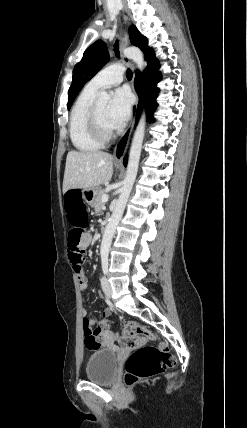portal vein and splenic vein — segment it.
Instances as JSON below:
<instances>
[{"label":"portal vein and splenic vein","instance_id":"portal-vein-and-splenic-vein-1","mask_svg":"<svg viewBox=\"0 0 247 428\" xmlns=\"http://www.w3.org/2000/svg\"><path fill=\"white\" fill-rule=\"evenodd\" d=\"M107 201H108V195H103L102 202H107Z\"/></svg>","mask_w":247,"mask_h":428}]
</instances>
